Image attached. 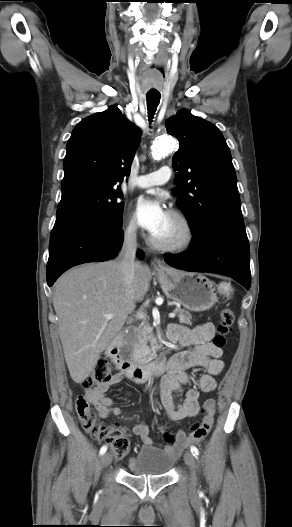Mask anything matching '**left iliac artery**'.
<instances>
[{
  "instance_id": "1",
  "label": "left iliac artery",
  "mask_w": 292,
  "mask_h": 527,
  "mask_svg": "<svg viewBox=\"0 0 292 527\" xmlns=\"http://www.w3.org/2000/svg\"><path fill=\"white\" fill-rule=\"evenodd\" d=\"M190 450H191V453H192L195 457H197V456L199 455V450L197 449V447H195V446H191Z\"/></svg>"
}]
</instances>
